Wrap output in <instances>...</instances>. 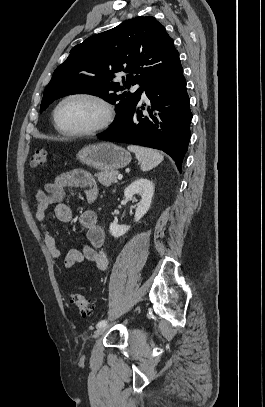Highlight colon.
Masks as SVG:
<instances>
[{
    "instance_id": "1",
    "label": "colon",
    "mask_w": 265,
    "mask_h": 407,
    "mask_svg": "<svg viewBox=\"0 0 265 407\" xmlns=\"http://www.w3.org/2000/svg\"><path fill=\"white\" fill-rule=\"evenodd\" d=\"M46 160L47 152L44 149H36L31 156L30 165L34 168L43 167ZM71 301L79 309L82 316H88L93 310V304L82 294H74Z\"/></svg>"
}]
</instances>
